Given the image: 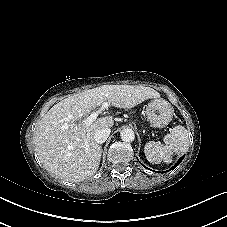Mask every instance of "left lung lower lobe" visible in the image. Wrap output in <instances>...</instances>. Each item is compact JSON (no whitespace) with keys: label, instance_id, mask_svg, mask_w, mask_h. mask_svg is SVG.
<instances>
[{"label":"left lung lower lobe","instance_id":"0a47b994","mask_svg":"<svg viewBox=\"0 0 227 227\" xmlns=\"http://www.w3.org/2000/svg\"><path fill=\"white\" fill-rule=\"evenodd\" d=\"M183 158H184V156H182L179 160H178V162L171 168V169H169L168 171H170V170H172V169H174L175 167H177L180 163H181V161L183 160ZM145 167V166H144ZM145 168H147V167H145ZM148 169V168H147Z\"/></svg>","mask_w":227,"mask_h":227}]
</instances>
